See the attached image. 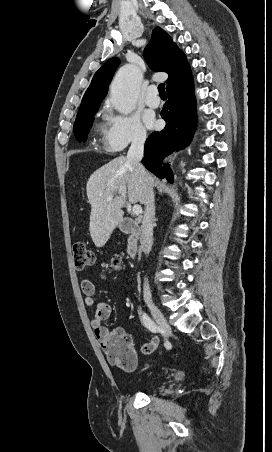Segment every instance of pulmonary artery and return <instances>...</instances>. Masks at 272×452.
<instances>
[{"instance_id":"e3ab8cb5","label":"pulmonary artery","mask_w":272,"mask_h":452,"mask_svg":"<svg viewBox=\"0 0 272 452\" xmlns=\"http://www.w3.org/2000/svg\"><path fill=\"white\" fill-rule=\"evenodd\" d=\"M145 103L147 106L151 108H157L160 106V98L157 95V88L154 85H151L147 89L146 97H145Z\"/></svg>"}]
</instances>
